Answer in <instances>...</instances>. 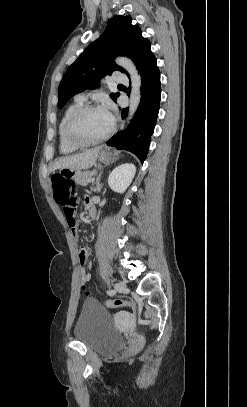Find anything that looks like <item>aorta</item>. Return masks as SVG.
I'll list each match as a JSON object with an SVG mask.
<instances>
[{
    "label": "aorta",
    "instance_id": "aorta-1",
    "mask_svg": "<svg viewBox=\"0 0 247 407\" xmlns=\"http://www.w3.org/2000/svg\"><path fill=\"white\" fill-rule=\"evenodd\" d=\"M116 63L120 66H122L130 75L131 78V93H130V104H129V114H128V120L132 118L134 115L135 111L138 108V105L140 103L141 99V77L138 74V71L133 64V62L126 58V57H118L116 59Z\"/></svg>",
    "mask_w": 247,
    "mask_h": 407
}]
</instances>
